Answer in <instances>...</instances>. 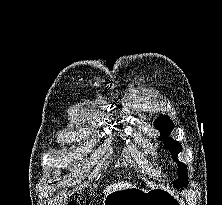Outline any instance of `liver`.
I'll use <instances>...</instances> for the list:
<instances>
[{
    "instance_id": "liver-1",
    "label": "liver",
    "mask_w": 222,
    "mask_h": 205,
    "mask_svg": "<svg viewBox=\"0 0 222 205\" xmlns=\"http://www.w3.org/2000/svg\"><path fill=\"white\" fill-rule=\"evenodd\" d=\"M128 186H130V184H128V183L114 184V185H111V186L107 187L105 192L108 193L110 191H113V190H116V189H120V188H125V187H128Z\"/></svg>"
}]
</instances>
